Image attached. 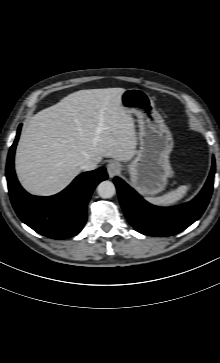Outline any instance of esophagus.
<instances>
[{"instance_id": "1", "label": "esophagus", "mask_w": 220, "mask_h": 363, "mask_svg": "<svg viewBox=\"0 0 220 363\" xmlns=\"http://www.w3.org/2000/svg\"><path fill=\"white\" fill-rule=\"evenodd\" d=\"M120 165L117 162H110L107 164V172L110 178H113L120 172Z\"/></svg>"}]
</instances>
